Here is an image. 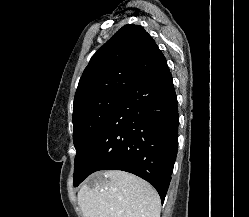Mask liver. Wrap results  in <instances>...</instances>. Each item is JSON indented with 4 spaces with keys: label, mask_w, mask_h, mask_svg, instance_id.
I'll use <instances>...</instances> for the list:
<instances>
[{
    "label": "liver",
    "mask_w": 249,
    "mask_h": 217,
    "mask_svg": "<svg viewBox=\"0 0 249 217\" xmlns=\"http://www.w3.org/2000/svg\"><path fill=\"white\" fill-rule=\"evenodd\" d=\"M100 177L109 180L106 185L97 180ZM91 179L94 186L82 185L77 196L83 217H160V197L141 178L108 170L96 173Z\"/></svg>",
    "instance_id": "6515ba94"
}]
</instances>
